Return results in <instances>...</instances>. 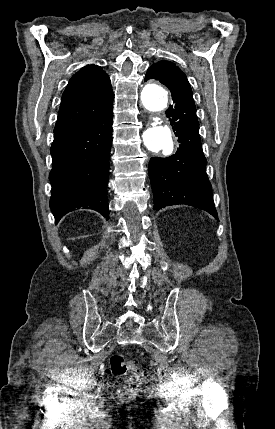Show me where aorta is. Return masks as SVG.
I'll return each instance as SVG.
<instances>
[{"mask_svg": "<svg viewBox=\"0 0 275 429\" xmlns=\"http://www.w3.org/2000/svg\"><path fill=\"white\" fill-rule=\"evenodd\" d=\"M143 107L150 112L163 111L168 104V92L158 82H148L141 92ZM143 141L146 148L153 152L171 154L174 149V136L167 124L155 119L151 126L143 132Z\"/></svg>", "mask_w": 275, "mask_h": 429, "instance_id": "1", "label": "aorta"}]
</instances>
